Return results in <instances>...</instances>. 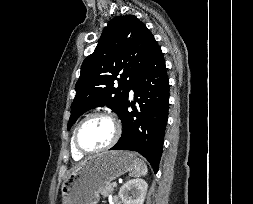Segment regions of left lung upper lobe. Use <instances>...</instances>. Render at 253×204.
<instances>
[{
    "instance_id": "obj_1",
    "label": "left lung upper lobe",
    "mask_w": 253,
    "mask_h": 204,
    "mask_svg": "<svg viewBox=\"0 0 253 204\" xmlns=\"http://www.w3.org/2000/svg\"><path fill=\"white\" fill-rule=\"evenodd\" d=\"M156 44L151 32L136 16L113 18L94 52L83 61L68 129L84 112L95 107L106 105L120 116L132 83ZM115 80L118 87L114 86Z\"/></svg>"
}]
</instances>
